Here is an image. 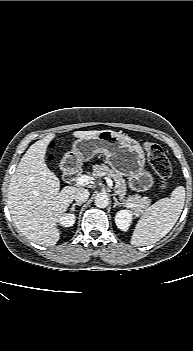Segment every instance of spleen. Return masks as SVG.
<instances>
[{"instance_id":"3e777b00","label":"spleen","mask_w":193,"mask_h":351,"mask_svg":"<svg viewBox=\"0 0 193 351\" xmlns=\"http://www.w3.org/2000/svg\"><path fill=\"white\" fill-rule=\"evenodd\" d=\"M184 202L185 188L179 186L172 191L170 198L154 203L138 220L130 240L131 244L150 245L166 236L179 219Z\"/></svg>"}]
</instances>
